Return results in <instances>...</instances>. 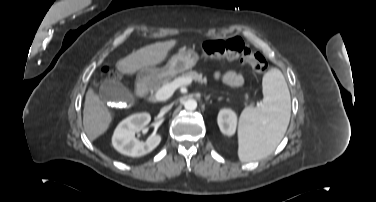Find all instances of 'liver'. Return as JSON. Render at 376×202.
Segmentation results:
<instances>
[{
	"label": "liver",
	"mask_w": 376,
	"mask_h": 202,
	"mask_svg": "<svg viewBox=\"0 0 376 202\" xmlns=\"http://www.w3.org/2000/svg\"><path fill=\"white\" fill-rule=\"evenodd\" d=\"M175 45L176 40H169L145 46L119 60L116 67L123 74H133L145 67L161 63ZM111 121L112 116L108 108L94 90L89 88L83 110V125L88 138L93 141L102 135Z\"/></svg>",
	"instance_id": "1"
}]
</instances>
